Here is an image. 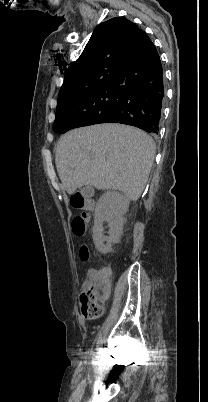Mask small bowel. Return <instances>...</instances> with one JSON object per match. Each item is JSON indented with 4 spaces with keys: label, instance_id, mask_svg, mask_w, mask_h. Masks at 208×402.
<instances>
[{
    "label": "small bowel",
    "instance_id": "1",
    "mask_svg": "<svg viewBox=\"0 0 208 402\" xmlns=\"http://www.w3.org/2000/svg\"><path fill=\"white\" fill-rule=\"evenodd\" d=\"M96 296H98V297H100V298H102V299H104V297H105V295H96ZM89 322H90L91 324H96V323L98 322V317H97L96 315H91V316L89 317Z\"/></svg>",
    "mask_w": 208,
    "mask_h": 402
}]
</instances>
